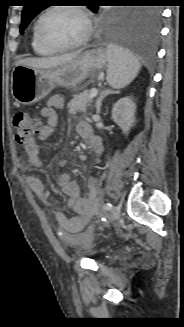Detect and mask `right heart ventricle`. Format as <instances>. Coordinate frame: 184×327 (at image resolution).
<instances>
[{"mask_svg":"<svg viewBox=\"0 0 184 327\" xmlns=\"http://www.w3.org/2000/svg\"><path fill=\"white\" fill-rule=\"evenodd\" d=\"M31 46L33 51L41 56H49L55 53V51L48 49L47 47H45L39 40L38 37L36 35V30H35V26L32 30V37H31Z\"/></svg>","mask_w":184,"mask_h":327,"instance_id":"e07e8e85","label":"right heart ventricle"}]
</instances>
